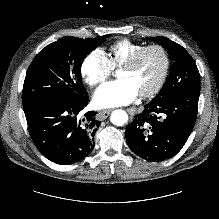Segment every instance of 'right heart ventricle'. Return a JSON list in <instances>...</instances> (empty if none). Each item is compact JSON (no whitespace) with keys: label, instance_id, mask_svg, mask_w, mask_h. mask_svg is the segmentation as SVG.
<instances>
[{"label":"right heart ventricle","instance_id":"obj_1","mask_svg":"<svg viewBox=\"0 0 219 219\" xmlns=\"http://www.w3.org/2000/svg\"><path fill=\"white\" fill-rule=\"evenodd\" d=\"M144 47V44L133 42L129 39H120L113 43L107 57L112 68H119L134 53Z\"/></svg>","mask_w":219,"mask_h":219}]
</instances>
